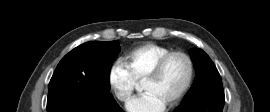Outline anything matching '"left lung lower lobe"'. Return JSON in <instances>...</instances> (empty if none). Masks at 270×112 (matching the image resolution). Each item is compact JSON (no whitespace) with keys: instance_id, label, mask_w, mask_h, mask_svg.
Wrapping results in <instances>:
<instances>
[{"instance_id":"0a47b994","label":"left lung lower lobe","mask_w":270,"mask_h":112,"mask_svg":"<svg viewBox=\"0 0 270 112\" xmlns=\"http://www.w3.org/2000/svg\"><path fill=\"white\" fill-rule=\"evenodd\" d=\"M224 103V95L213 93L198 102L180 105L173 112H222Z\"/></svg>"}]
</instances>
